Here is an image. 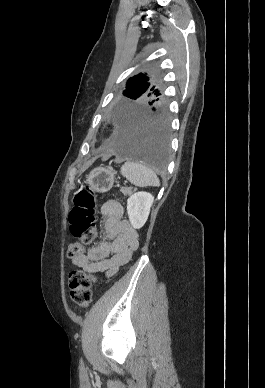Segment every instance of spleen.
Segmentation results:
<instances>
[{
  "label": "spleen",
  "instance_id": "obj_1",
  "mask_svg": "<svg viewBox=\"0 0 265 388\" xmlns=\"http://www.w3.org/2000/svg\"><path fill=\"white\" fill-rule=\"evenodd\" d=\"M122 176L127 178L131 184L134 186H140V188H145V186H159V180L151 170V168H146L143 166L142 162H125L121 168Z\"/></svg>",
  "mask_w": 265,
  "mask_h": 388
}]
</instances>
